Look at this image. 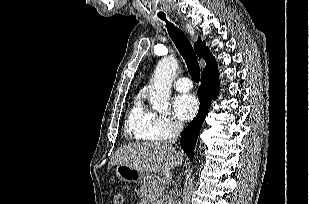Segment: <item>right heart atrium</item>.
Instances as JSON below:
<instances>
[{"label":"right heart atrium","instance_id":"right-heart-atrium-1","mask_svg":"<svg viewBox=\"0 0 309 204\" xmlns=\"http://www.w3.org/2000/svg\"><path fill=\"white\" fill-rule=\"evenodd\" d=\"M182 123L170 113H153L150 125V135L152 139L167 140L182 130Z\"/></svg>","mask_w":309,"mask_h":204}]
</instances>
